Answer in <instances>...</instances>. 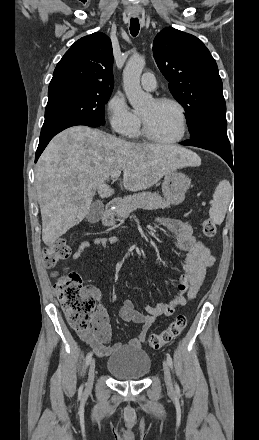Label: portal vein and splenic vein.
<instances>
[{"label": "portal vein and splenic vein", "mask_w": 259, "mask_h": 440, "mask_svg": "<svg viewBox=\"0 0 259 440\" xmlns=\"http://www.w3.org/2000/svg\"><path fill=\"white\" fill-rule=\"evenodd\" d=\"M121 174V171H115L111 174V178L118 179Z\"/></svg>", "instance_id": "portal-vein-and-splenic-vein-1"}]
</instances>
